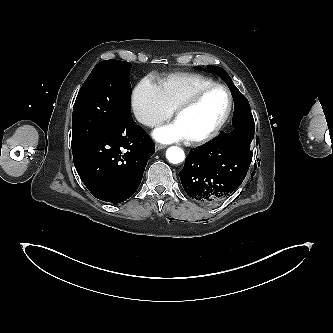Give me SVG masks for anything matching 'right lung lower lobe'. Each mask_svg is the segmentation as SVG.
<instances>
[{
	"mask_svg": "<svg viewBox=\"0 0 333 333\" xmlns=\"http://www.w3.org/2000/svg\"><path fill=\"white\" fill-rule=\"evenodd\" d=\"M154 152V143L131 115L72 150L74 165L87 189L111 203L123 202L135 193Z\"/></svg>",
	"mask_w": 333,
	"mask_h": 333,
	"instance_id": "98d812e1",
	"label": "right lung lower lobe"
}]
</instances>
